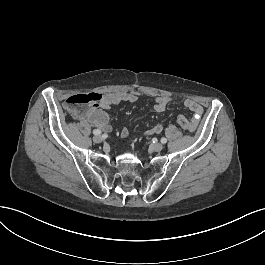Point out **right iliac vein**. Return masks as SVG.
Instances as JSON below:
<instances>
[{
	"mask_svg": "<svg viewBox=\"0 0 265 265\" xmlns=\"http://www.w3.org/2000/svg\"><path fill=\"white\" fill-rule=\"evenodd\" d=\"M102 140H103V137L101 135H94L93 136V141L95 143H100V142H102Z\"/></svg>",
	"mask_w": 265,
	"mask_h": 265,
	"instance_id": "obj_1",
	"label": "right iliac vein"
}]
</instances>
